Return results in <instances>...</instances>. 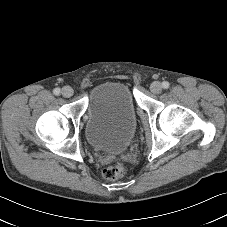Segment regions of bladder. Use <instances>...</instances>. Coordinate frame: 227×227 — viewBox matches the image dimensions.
Segmentation results:
<instances>
[{"label":"bladder","mask_w":227,"mask_h":227,"mask_svg":"<svg viewBox=\"0 0 227 227\" xmlns=\"http://www.w3.org/2000/svg\"><path fill=\"white\" fill-rule=\"evenodd\" d=\"M136 125L133 95L125 83L108 81L92 89L85 120V136L91 146L120 153L131 144Z\"/></svg>","instance_id":"bladder-1"}]
</instances>
